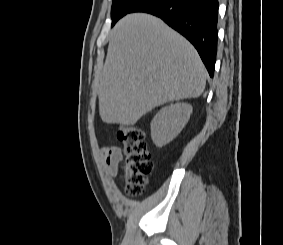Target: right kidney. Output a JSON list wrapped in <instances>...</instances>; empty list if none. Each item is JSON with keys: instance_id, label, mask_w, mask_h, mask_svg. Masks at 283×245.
Returning <instances> with one entry per match:
<instances>
[{"instance_id": "obj_1", "label": "right kidney", "mask_w": 283, "mask_h": 245, "mask_svg": "<svg viewBox=\"0 0 283 245\" xmlns=\"http://www.w3.org/2000/svg\"><path fill=\"white\" fill-rule=\"evenodd\" d=\"M192 113L187 103L171 104L162 108L151 122V138L154 144L162 147L171 142L184 128Z\"/></svg>"}]
</instances>
